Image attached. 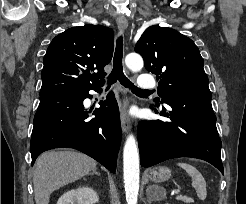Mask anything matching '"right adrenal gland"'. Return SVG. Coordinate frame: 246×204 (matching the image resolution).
I'll use <instances>...</instances> for the list:
<instances>
[{
	"mask_svg": "<svg viewBox=\"0 0 246 204\" xmlns=\"http://www.w3.org/2000/svg\"><path fill=\"white\" fill-rule=\"evenodd\" d=\"M90 174H96V175H99V176H100V173L97 172V168H94V169L92 170V173H90Z\"/></svg>",
	"mask_w": 246,
	"mask_h": 204,
	"instance_id": "1",
	"label": "right adrenal gland"
}]
</instances>
